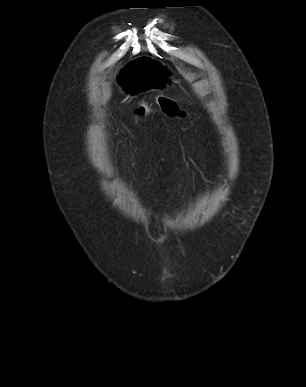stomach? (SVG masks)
<instances>
[{"mask_svg":"<svg viewBox=\"0 0 306 387\" xmlns=\"http://www.w3.org/2000/svg\"><path fill=\"white\" fill-rule=\"evenodd\" d=\"M166 59H155V55H134V61H128L117 76L122 90L132 95H145L155 87H165L171 82Z\"/></svg>","mask_w":306,"mask_h":387,"instance_id":"1","label":"stomach"}]
</instances>
